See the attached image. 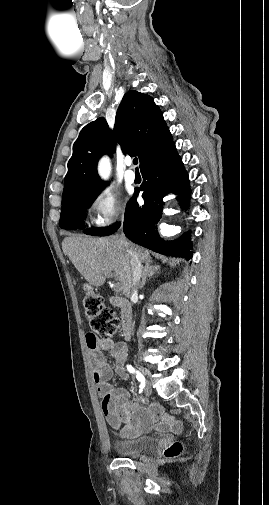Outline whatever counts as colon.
<instances>
[{"instance_id":"colon-1","label":"colon","mask_w":269,"mask_h":505,"mask_svg":"<svg viewBox=\"0 0 269 505\" xmlns=\"http://www.w3.org/2000/svg\"><path fill=\"white\" fill-rule=\"evenodd\" d=\"M82 307L91 330L89 335L96 338H111L116 334L119 320L114 311L104 305L100 295L91 289H86L82 298ZM182 452V444L174 442L165 449L164 455L172 459L180 456Z\"/></svg>"}]
</instances>
